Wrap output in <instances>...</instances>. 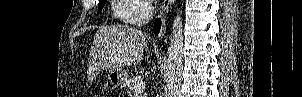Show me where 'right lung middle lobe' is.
<instances>
[{
  "mask_svg": "<svg viewBox=\"0 0 302 97\" xmlns=\"http://www.w3.org/2000/svg\"><path fill=\"white\" fill-rule=\"evenodd\" d=\"M105 3H106V0L99 1V5H98L99 12L103 9Z\"/></svg>",
  "mask_w": 302,
  "mask_h": 97,
  "instance_id": "dd1d6c3e",
  "label": "right lung middle lobe"
}]
</instances>
